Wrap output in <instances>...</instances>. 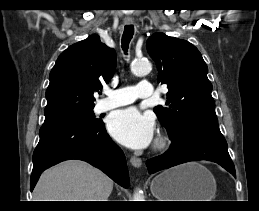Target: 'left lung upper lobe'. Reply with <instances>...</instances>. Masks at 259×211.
<instances>
[{"label": "left lung upper lobe", "instance_id": "5c2ea615", "mask_svg": "<svg viewBox=\"0 0 259 211\" xmlns=\"http://www.w3.org/2000/svg\"><path fill=\"white\" fill-rule=\"evenodd\" d=\"M147 51L158 69V83L167 84L166 104L154 108L171 140L194 128L219 131L208 68L198 49L162 32L147 40Z\"/></svg>", "mask_w": 259, "mask_h": 211}]
</instances>
